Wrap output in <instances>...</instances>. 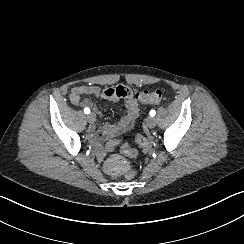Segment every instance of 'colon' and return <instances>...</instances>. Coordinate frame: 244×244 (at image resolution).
Segmentation results:
<instances>
[{
	"instance_id": "obj_1",
	"label": "colon",
	"mask_w": 244,
	"mask_h": 244,
	"mask_svg": "<svg viewBox=\"0 0 244 244\" xmlns=\"http://www.w3.org/2000/svg\"><path fill=\"white\" fill-rule=\"evenodd\" d=\"M105 97L117 100L131 96L144 105H158L162 101V92L157 88L146 89V90H136L132 87L126 85H115L108 87L104 91ZM136 142L138 147L143 149H148L151 146V141L144 134H139L136 137ZM118 146H121V153L124 156H130L131 158H137L140 155V150L137 147H132L126 137H115L110 138L106 144V151L115 152L118 149ZM129 180L134 181L137 179L138 174L136 171L131 170L125 172Z\"/></svg>"
}]
</instances>
